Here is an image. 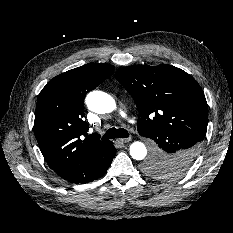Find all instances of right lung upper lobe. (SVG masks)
Instances as JSON below:
<instances>
[{
    "instance_id": "right-lung-upper-lobe-1",
    "label": "right lung upper lobe",
    "mask_w": 233,
    "mask_h": 233,
    "mask_svg": "<svg viewBox=\"0 0 233 233\" xmlns=\"http://www.w3.org/2000/svg\"><path fill=\"white\" fill-rule=\"evenodd\" d=\"M113 70L109 64L88 63L54 77L38 96L35 136L45 160L60 177L111 143L88 135L83 101Z\"/></svg>"
}]
</instances>
